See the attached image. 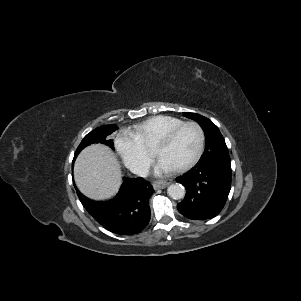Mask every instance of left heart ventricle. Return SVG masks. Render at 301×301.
<instances>
[{
    "label": "left heart ventricle",
    "instance_id": "b2bd125f",
    "mask_svg": "<svg viewBox=\"0 0 301 301\" xmlns=\"http://www.w3.org/2000/svg\"><path fill=\"white\" fill-rule=\"evenodd\" d=\"M198 141L197 130L193 126H187L170 142L155 144L153 151L160 159L174 167H179L193 157L198 147Z\"/></svg>",
    "mask_w": 301,
    "mask_h": 301
}]
</instances>
